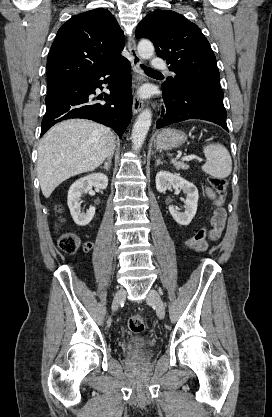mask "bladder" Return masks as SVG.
Returning <instances> with one entry per match:
<instances>
[{"mask_svg": "<svg viewBox=\"0 0 272 417\" xmlns=\"http://www.w3.org/2000/svg\"><path fill=\"white\" fill-rule=\"evenodd\" d=\"M131 342L146 350H153L157 347V341L155 339L145 336H134L131 338Z\"/></svg>", "mask_w": 272, "mask_h": 417, "instance_id": "1", "label": "bladder"}]
</instances>
